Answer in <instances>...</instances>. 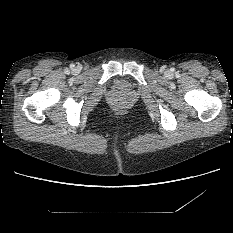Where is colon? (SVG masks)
<instances>
[{"label": "colon", "mask_w": 233, "mask_h": 233, "mask_svg": "<svg viewBox=\"0 0 233 233\" xmlns=\"http://www.w3.org/2000/svg\"><path fill=\"white\" fill-rule=\"evenodd\" d=\"M114 110L117 113H124L128 108V103L124 99H117L113 104Z\"/></svg>", "instance_id": "colon-1"}]
</instances>
